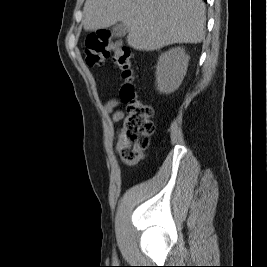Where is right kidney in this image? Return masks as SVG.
Returning <instances> with one entry per match:
<instances>
[{"instance_id": "obj_1", "label": "right kidney", "mask_w": 267, "mask_h": 267, "mask_svg": "<svg viewBox=\"0 0 267 267\" xmlns=\"http://www.w3.org/2000/svg\"><path fill=\"white\" fill-rule=\"evenodd\" d=\"M189 56L181 47L162 53L156 66V85L160 93L174 92L186 75Z\"/></svg>"}]
</instances>
